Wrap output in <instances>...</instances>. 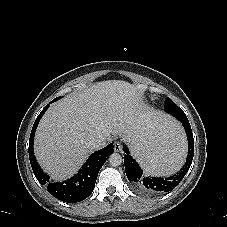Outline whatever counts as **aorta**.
Returning a JSON list of instances; mask_svg holds the SVG:
<instances>
[{
	"mask_svg": "<svg viewBox=\"0 0 227 227\" xmlns=\"http://www.w3.org/2000/svg\"><path fill=\"white\" fill-rule=\"evenodd\" d=\"M122 161V156L118 153H113L109 156V163L113 167L121 165Z\"/></svg>",
	"mask_w": 227,
	"mask_h": 227,
	"instance_id": "1",
	"label": "aorta"
}]
</instances>
